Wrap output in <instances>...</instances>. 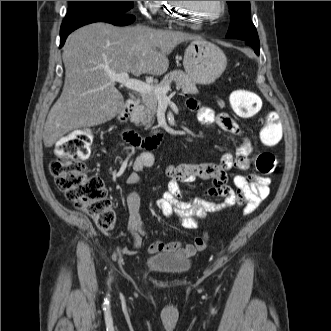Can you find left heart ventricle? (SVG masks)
<instances>
[{
	"mask_svg": "<svg viewBox=\"0 0 331 331\" xmlns=\"http://www.w3.org/2000/svg\"><path fill=\"white\" fill-rule=\"evenodd\" d=\"M189 17L203 18L215 15L219 10V1H186Z\"/></svg>",
	"mask_w": 331,
	"mask_h": 331,
	"instance_id": "1",
	"label": "left heart ventricle"
}]
</instances>
